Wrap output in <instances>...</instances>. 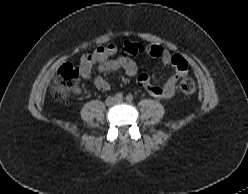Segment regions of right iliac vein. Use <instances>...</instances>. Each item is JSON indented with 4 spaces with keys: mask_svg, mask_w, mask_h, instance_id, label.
<instances>
[{
    "mask_svg": "<svg viewBox=\"0 0 248 194\" xmlns=\"http://www.w3.org/2000/svg\"><path fill=\"white\" fill-rule=\"evenodd\" d=\"M115 103V99L113 98V97H108L107 99H106V104L107 105H112V104H114Z\"/></svg>",
    "mask_w": 248,
    "mask_h": 194,
    "instance_id": "right-iliac-vein-1",
    "label": "right iliac vein"
}]
</instances>
